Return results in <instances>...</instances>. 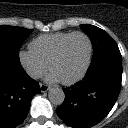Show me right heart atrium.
<instances>
[{"label": "right heart atrium", "instance_id": "d8ad5b80", "mask_svg": "<svg viewBox=\"0 0 128 128\" xmlns=\"http://www.w3.org/2000/svg\"><path fill=\"white\" fill-rule=\"evenodd\" d=\"M18 58L22 68L33 79L40 78L48 69V65L31 49L21 50L18 54Z\"/></svg>", "mask_w": 128, "mask_h": 128}]
</instances>
